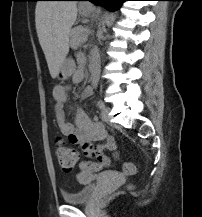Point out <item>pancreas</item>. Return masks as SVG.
Instances as JSON below:
<instances>
[{
	"label": "pancreas",
	"mask_w": 202,
	"mask_h": 217,
	"mask_svg": "<svg viewBox=\"0 0 202 217\" xmlns=\"http://www.w3.org/2000/svg\"><path fill=\"white\" fill-rule=\"evenodd\" d=\"M70 36V45L72 48L76 49L87 40L88 33L83 29L82 26H79L71 30Z\"/></svg>",
	"instance_id": "obj_1"
}]
</instances>
